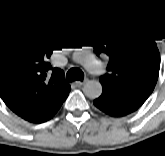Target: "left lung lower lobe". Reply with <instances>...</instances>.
Returning a JSON list of instances; mask_svg holds the SVG:
<instances>
[{"mask_svg": "<svg viewBox=\"0 0 165 156\" xmlns=\"http://www.w3.org/2000/svg\"><path fill=\"white\" fill-rule=\"evenodd\" d=\"M102 86V94L94 100V105L105 114L112 117H122L139 108V106L118 96L110 87L103 84Z\"/></svg>", "mask_w": 165, "mask_h": 156, "instance_id": "0a47b994", "label": "left lung lower lobe"}]
</instances>
